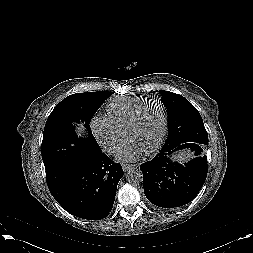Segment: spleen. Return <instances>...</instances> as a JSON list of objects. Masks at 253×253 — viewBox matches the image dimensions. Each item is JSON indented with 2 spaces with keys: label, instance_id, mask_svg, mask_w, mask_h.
Masks as SVG:
<instances>
[{
  "label": "spleen",
  "instance_id": "spleen-1",
  "mask_svg": "<svg viewBox=\"0 0 253 253\" xmlns=\"http://www.w3.org/2000/svg\"><path fill=\"white\" fill-rule=\"evenodd\" d=\"M187 157H180V160H184V159H186Z\"/></svg>",
  "mask_w": 253,
  "mask_h": 253
}]
</instances>
